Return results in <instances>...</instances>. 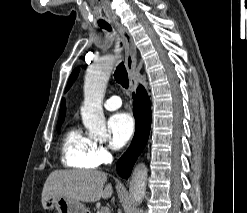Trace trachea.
I'll return each mask as SVG.
<instances>
[{"instance_id": "obj_1", "label": "trachea", "mask_w": 247, "mask_h": 213, "mask_svg": "<svg viewBox=\"0 0 247 213\" xmlns=\"http://www.w3.org/2000/svg\"><path fill=\"white\" fill-rule=\"evenodd\" d=\"M102 28L110 31L111 30V26L108 24H103L101 25ZM114 77L117 83H119L122 87L124 88H128L129 86V79H128V74L125 68V65L123 62H121L117 67L116 70L114 72Z\"/></svg>"}]
</instances>
